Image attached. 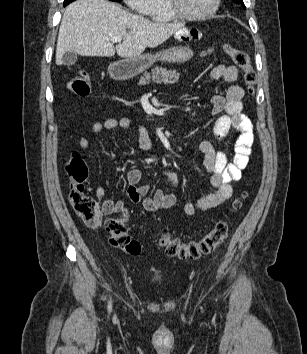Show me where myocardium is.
<instances>
[{"label": "myocardium", "mask_w": 307, "mask_h": 354, "mask_svg": "<svg viewBox=\"0 0 307 354\" xmlns=\"http://www.w3.org/2000/svg\"><path fill=\"white\" fill-rule=\"evenodd\" d=\"M168 9L176 19L188 21H202L215 15L220 7L221 0H214L212 7L205 13L193 15L186 13L181 5V0H166Z\"/></svg>", "instance_id": "f54148a6"}]
</instances>
